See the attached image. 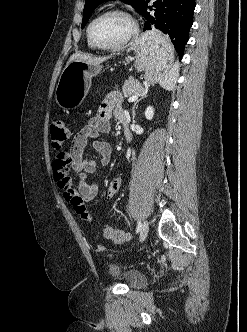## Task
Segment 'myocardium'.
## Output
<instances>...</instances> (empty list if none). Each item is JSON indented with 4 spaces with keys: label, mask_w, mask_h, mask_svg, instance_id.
Returning <instances> with one entry per match:
<instances>
[{
    "label": "myocardium",
    "mask_w": 247,
    "mask_h": 332,
    "mask_svg": "<svg viewBox=\"0 0 247 332\" xmlns=\"http://www.w3.org/2000/svg\"><path fill=\"white\" fill-rule=\"evenodd\" d=\"M108 15H120V16L125 17L130 23V30H129L128 34L118 43L112 44V45H101L94 40L93 35H92V28H93V25L99 19H101L105 16H108ZM137 32H138L137 22L128 12L121 10V9H109V10L102 12L98 16H96L89 23L88 28H87V37L95 48L102 49V50H118V49H121L124 46H126L134 38V36L137 34Z\"/></svg>",
    "instance_id": "f54148a6"
}]
</instances>
